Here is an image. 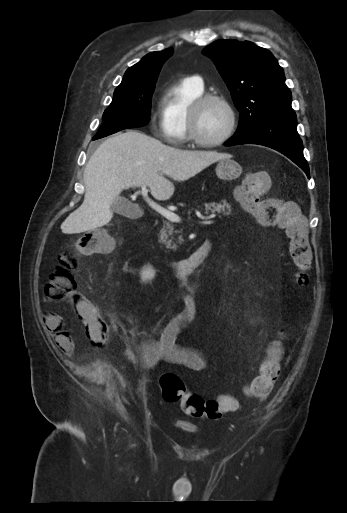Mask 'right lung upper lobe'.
I'll return each mask as SVG.
<instances>
[{
  "mask_svg": "<svg viewBox=\"0 0 347 513\" xmlns=\"http://www.w3.org/2000/svg\"><path fill=\"white\" fill-rule=\"evenodd\" d=\"M173 49L151 52L133 65L124 74L117 88L144 87L156 82L163 63L172 55Z\"/></svg>",
  "mask_w": 347,
  "mask_h": 513,
  "instance_id": "obj_1",
  "label": "right lung upper lobe"
}]
</instances>
